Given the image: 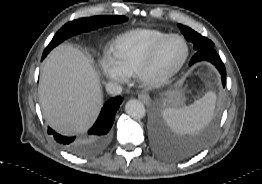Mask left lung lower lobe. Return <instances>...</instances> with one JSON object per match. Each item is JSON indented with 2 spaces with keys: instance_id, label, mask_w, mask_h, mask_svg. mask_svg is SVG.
Masks as SVG:
<instances>
[{
  "instance_id": "0a47b994",
  "label": "left lung lower lobe",
  "mask_w": 262,
  "mask_h": 184,
  "mask_svg": "<svg viewBox=\"0 0 262 184\" xmlns=\"http://www.w3.org/2000/svg\"><path fill=\"white\" fill-rule=\"evenodd\" d=\"M206 60L216 66L221 74L222 84H226V70L224 63L214 48H205L196 51L190 65ZM149 139L152 149L161 157L168 160H184L197 155L210 142V135L201 134L194 137H181L174 134L169 128L161 112L153 111L148 124Z\"/></svg>"
}]
</instances>
